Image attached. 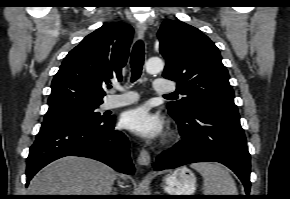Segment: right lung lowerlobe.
Masks as SVG:
<instances>
[{
	"mask_svg": "<svg viewBox=\"0 0 290 199\" xmlns=\"http://www.w3.org/2000/svg\"><path fill=\"white\" fill-rule=\"evenodd\" d=\"M65 156L101 161L118 172L133 175L127 137L114 129V117L102 122L42 125L27 158V183L44 166Z\"/></svg>",
	"mask_w": 290,
	"mask_h": 199,
	"instance_id": "1",
	"label": "right lung lower lobe"
}]
</instances>
